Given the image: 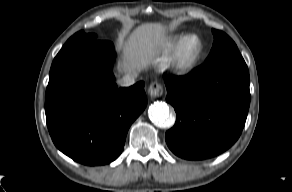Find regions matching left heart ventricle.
Instances as JSON below:
<instances>
[{
	"instance_id": "obj_1",
	"label": "left heart ventricle",
	"mask_w": 292,
	"mask_h": 192,
	"mask_svg": "<svg viewBox=\"0 0 292 192\" xmlns=\"http://www.w3.org/2000/svg\"><path fill=\"white\" fill-rule=\"evenodd\" d=\"M197 47H198L197 41L195 39L190 40L186 46L185 50L186 55L193 54L196 51Z\"/></svg>"
}]
</instances>
